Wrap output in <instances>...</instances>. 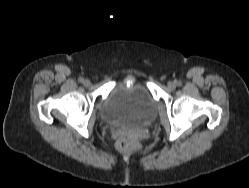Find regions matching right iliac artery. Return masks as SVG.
<instances>
[{
  "mask_svg": "<svg viewBox=\"0 0 249 188\" xmlns=\"http://www.w3.org/2000/svg\"><path fill=\"white\" fill-rule=\"evenodd\" d=\"M78 81H79L80 83H82V82H84V79H83L82 77H80V78L78 79Z\"/></svg>",
  "mask_w": 249,
  "mask_h": 188,
  "instance_id": "1",
  "label": "right iliac artery"
}]
</instances>
